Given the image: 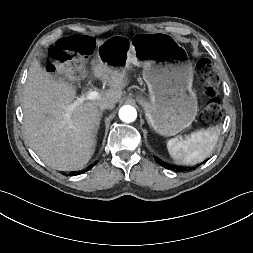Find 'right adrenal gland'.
Segmentation results:
<instances>
[{"label": "right adrenal gland", "instance_id": "1", "mask_svg": "<svg viewBox=\"0 0 253 253\" xmlns=\"http://www.w3.org/2000/svg\"><path fill=\"white\" fill-rule=\"evenodd\" d=\"M102 113H103V111H100L99 119H98V122H97V125H96V132L98 131V128L100 126V120H101Z\"/></svg>", "mask_w": 253, "mask_h": 253}]
</instances>
